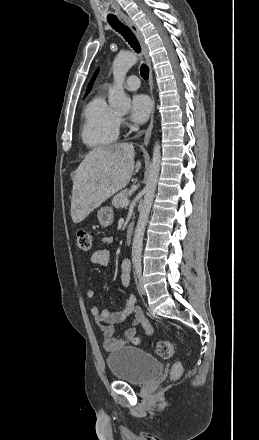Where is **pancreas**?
<instances>
[{"label":"pancreas","instance_id":"pancreas-1","mask_svg":"<svg viewBox=\"0 0 259 440\" xmlns=\"http://www.w3.org/2000/svg\"><path fill=\"white\" fill-rule=\"evenodd\" d=\"M126 199H128V190H127V189L121 191L120 193L116 194V195L113 197V199H112V205H113L116 209H118V208L122 207V206H121V202H122L123 200H126Z\"/></svg>","mask_w":259,"mask_h":440}]
</instances>
